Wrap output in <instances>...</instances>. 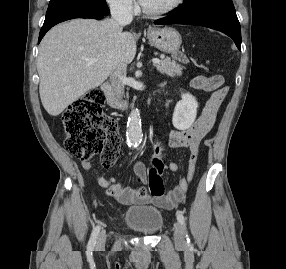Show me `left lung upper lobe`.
<instances>
[{
  "instance_id": "obj_1",
  "label": "left lung upper lobe",
  "mask_w": 286,
  "mask_h": 269,
  "mask_svg": "<svg viewBox=\"0 0 286 269\" xmlns=\"http://www.w3.org/2000/svg\"><path fill=\"white\" fill-rule=\"evenodd\" d=\"M182 7H177L173 11L180 13L192 12L207 8H234L232 0H183Z\"/></svg>"
}]
</instances>
